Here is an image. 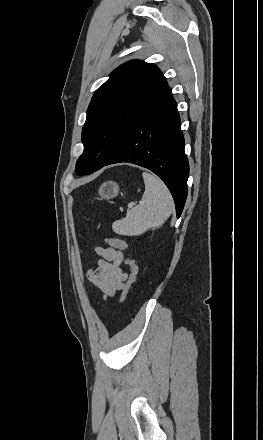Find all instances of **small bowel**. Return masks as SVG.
I'll list each match as a JSON object with an SVG mask.
<instances>
[{
	"label": "small bowel",
	"mask_w": 263,
	"mask_h": 440,
	"mask_svg": "<svg viewBox=\"0 0 263 440\" xmlns=\"http://www.w3.org/2000/svg\"><path fill=\"white\" fill-rule=\"evenodd\" d=\"M94 252L99 256L97 268L88 270L87 276L105 298L122 290L128 278L127 272L121 267L123 254L113 247L95 246Z\"/></svg>",
	"instance_id": "1"
}]
</instances>
